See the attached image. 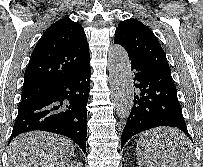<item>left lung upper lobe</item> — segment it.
Segmentation results:
<instances>
[{
  "label": "left lung upper lobe",
  "mask_w": 203,
  "mask_h": 167,
  "mask_svg": "<svg viewBox=\"0 0 203 167\" xmlns=\"http://www.w3.org/2000/svg\"><path fill=\"white\" fill-rule=\"evenodd\" d=\"M114 42L125 48L129 57L171 73L165 53L154 33L142 22L128 19L119 23Z\"/></svg>",
  "instance_id": "5c2ea615"
}]
</instances>
